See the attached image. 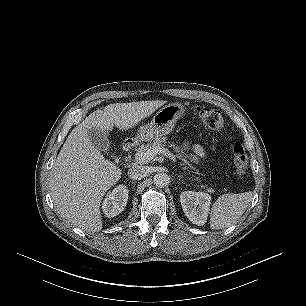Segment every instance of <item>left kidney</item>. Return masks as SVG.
Listing matches in <instances>:
<instances>
[{"label": "left kidney", "mask_w": 306, "mask_h": 306, "mask_svg": "<svg viewBox=\"0 0 306 306\" xmlns=\"http://www.w3.org/2000/svg\"><path fill=\"white\" fill-rule=\"evenodd\" d=\"M211 199V196L204 192L184 191L180 195L183 212L198 226H203L207 222Z\"/></svg>", "instance_id": "5707ae66"}]
</instances>
